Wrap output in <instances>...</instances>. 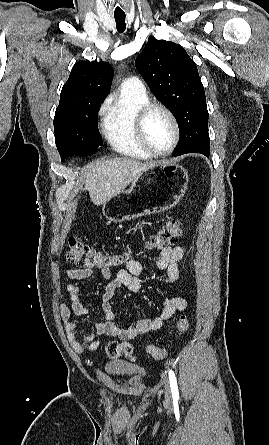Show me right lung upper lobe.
<instances>
[{"label": "right lung upper lobe", "instance_id": "obj_1", "mask_svg": "<svg viewBox=\"0 0 269 445\" xmlns=\"http://www.w3.org/2000/svg\"><path fill=\"white\" fill-rule=\"evenodd\" d=\"M113 69L107 62H77L63 85L59 105L74 102L104 101L108 95Z\"/></svg>", "mask_w": 269, "mask_h": 445}]
</instances>
